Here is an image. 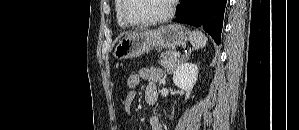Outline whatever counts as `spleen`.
<instances>
[{
    "instance_id": "1",
    "label": "spleen",
    "mask_w": 299,
    "mask_h": 130,
    "mask_svg": "<svg viewBox=\"0 0 299 130\" xmlns=\"http://www.w3.org/2000/svg\"><path fill=\"white\" fill-rule=\"evenodd\" d=\"M189 41L193 48L198 50L206 46L208 39L201 31L193 30L189 35Z\"/></svg>"
}]
</instances>
